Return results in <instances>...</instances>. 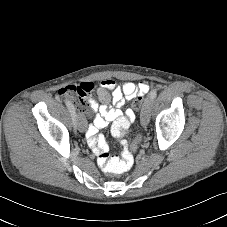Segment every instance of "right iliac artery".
Segmentation results:
<instances>
[{"mask_svg": "<svg viewBox=\"0 0 227 227\" xmlns=\"http://www.w3.org/2000/svg\"><path fill=\"white\" fill-rule=\"evenodd\" d=\"M65 104L68 107V109H69V111H70V113L72 115V120H73L74 127H76L75 126V123H76L75 122L76 121L75 108H74L73 104L69 100H66Z\"/></svg>", "mask_w": 227, "mask_h": 227, "instance_id": "1", "label": "right iliac artery"}]
</instances>
